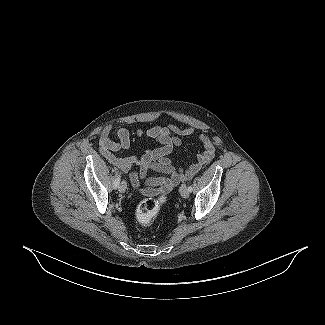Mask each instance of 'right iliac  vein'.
<instances>
[{"label":"right iliac vein","mask_w":325,"mask_h":325,"mask_svg":"<svg viewBox=\"0 0 325 325\" xmlns=\"http://www.w3.org/2000/svg\"><path fill=\"white\" fill-rule=\"evenodd\" d=\"M119 191L121 193H124L127 189V183L125 181H122L118 187Z\"/></svg>","instance_id":"63e3f726"}]
</instances>
